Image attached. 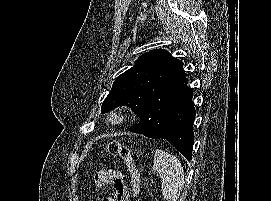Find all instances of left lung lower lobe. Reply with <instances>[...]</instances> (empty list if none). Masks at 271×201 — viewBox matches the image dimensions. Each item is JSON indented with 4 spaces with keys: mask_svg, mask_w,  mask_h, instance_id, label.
<instances>
[{
    "mask_svg": "<svg viewBox=\"0 0 271 201\" xmlns=\"http://www.w3.org/2000/svg\"><path fill=\"white\" fill-rule=\"evenodd\" d=\"M187 83L188 79H185L170 110L165 130L160 138L169 141L187 160H191L195 108L192 102L193 89L189 88ZM130 131L142 134L143 127L138 123Z\"/></svg>",
    "mask_w": 271,
    "mask_h": 201,
    "instance_id": "left-lung-lower-lobe-1",
    "label": "left lung lower lobe"
}]
</instances>
